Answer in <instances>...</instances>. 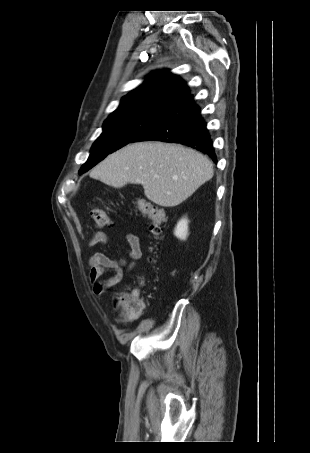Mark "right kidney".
<instances>
[{
	"label": "right kidney",
	"mask_w": 310,
	"mask_h": 453,
	"mask_svg": "<svg viewBox=\"0 0 310 453\" xmlns=\"http://www.w3.org/2000/svg\"><path fill=\"white\" fill-rule=\"evenodd\" d=\"M174 235L180 240H185L188 235V219L182 218L174 230Z\"/></svg>",
	"instance_id": "1"
}]
</instances>
